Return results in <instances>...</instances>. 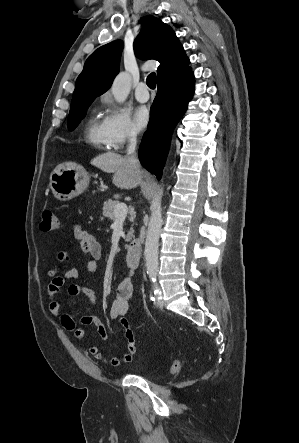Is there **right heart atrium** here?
<instances>
[{"label":"right heart atrium","mask_w":299,"mask_h":443,"mask_svg":"<svg viewBox=\"0 0 299 443\" xmlns=\"http://www.w3.org/2000/svg\"><path fill=\"white\" fill-rule=\"evenodd\" d=\"M106 105V115L102 121L107 142L111 148L119 149L137 139L138 131L133 125L129 113L116 105L109 95L102 97Z\"/></svg>","instance_id":"d8ad5b80"}]
</instances>
